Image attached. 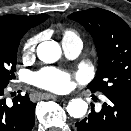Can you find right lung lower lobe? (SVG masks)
<instances>
[{
    "instance_id": "98d812e1",
    "label": "right lung lower lobe",
    "mask_w": 131,
    "mask_h": 131,
    "mask_svg": "<svg viewBox=\"0 0 131 131\" xmlns=\"http://www.w3.org/2000/svg\"><path fill=\"white\" fill-rule=\"evenodd\" d=\"M5 87H0V131H31L35 123V107L29 96L19 95L8 107L3 98Z\"/></svg>"
}]
</instances>
